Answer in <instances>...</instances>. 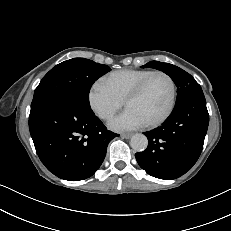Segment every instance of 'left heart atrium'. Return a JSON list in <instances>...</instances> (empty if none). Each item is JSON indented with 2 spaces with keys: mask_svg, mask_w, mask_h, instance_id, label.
<instances>
[{
  "mask_svg": "<svg viewBox=\"0 0 231 231\" xmlns=\"http://www.w3.org/2000/svg\"><path fill=\"white\" fill-rule=\"evenodd\" d=\"M144 125V120L131 109H126L109 123L110 128L115 131L134 130Z\"/></svg>",
  "mask_w": 231,
  "mask_h": 231,
  "instance_id": "1",
  "label": "left heart atrium"
}]
</instances>
